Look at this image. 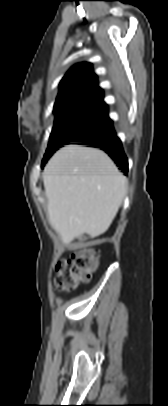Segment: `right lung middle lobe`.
I'll return each mask as SVG.
<instances>
[{
    "label": "right lung middle lobe",
    "mask_w": 168,
    "mask_h": 406,
    "mask_svg": "<svg viewBox=\"0 0 168 406\" xmlns=\"http://www.w3.org/2000/svg\"><path fill=\"white\" fill-rule=\"evenodd\" d=\"M56 118L42 166L63 145L76 142L112 124L107 106H75L55 111Z\"/></svg>",
    "instance_id": "1"
}]
</instances>
